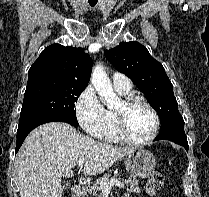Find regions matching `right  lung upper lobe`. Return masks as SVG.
I'll use <instances>...</instances> for the list:
<instances>
[{
	"instance_id": "obj_1",
	"label": "right lung upper lobe",
	"mask_w": 209,
	"mask_h": 197,
	"mask_svg": "<svg viewBox=\"0 0 209 197\" xmlns=\"http://www.w3.org/2000/svg\"><path fill=\"white\" fill-rule=\"evenodd\" d=\"M93 61L82 48L52 44L45 48L28 73V82L59 81L88 85Z\"/></svg>"
}]
</instances>
